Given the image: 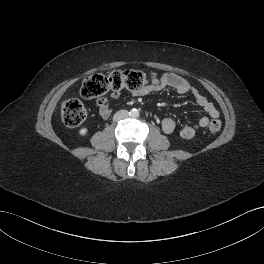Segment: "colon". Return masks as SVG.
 I'll return each instance as SVG.
<instances>
[{
    "mask_svg": "<svg viewBox=\"0 0 264 264\" xmlns=\"http://www.w3.org/2000/svg\"><path fill=\"white\" fill-rule=\"evenodd\" d=\"M159 83L160 80L155 73L147 75L137 70H114L107 74L87 76L82 82L80 95L85 99H93L107 92H120L123 89L138 91L146 86H155ZM61 115L67 126L76 127L85 121L87 111L80 100L68 98L62 102ZM220 128L221 122L218 119L211 120L208 125V131L211 134H216Z\"/></svg>",
    "mask_w": 264,
    "mask_h": 264,
    "instance_id": "obj_1",
    "label": "colon"
}]
</instances>
